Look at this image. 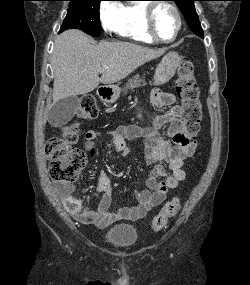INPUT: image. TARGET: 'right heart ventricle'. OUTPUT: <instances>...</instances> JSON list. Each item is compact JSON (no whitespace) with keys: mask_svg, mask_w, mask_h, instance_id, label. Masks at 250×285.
<instances>
[{"mask_svg":"<svg viewBox=\"0 0 250 285\" xmlns=\"http://www.w3.org/2000/svg\"><path fill=\"white\" fill-rule=\"evenodd\" d=\"M148 3L131 2L123 6L118 34L128 40L144 44H153L145 28V13Z\"/></svg>","mask_w":250,"mask_h":285,"instance_id":"obj_1","label":"right heart ventricle"}]
</instances>
